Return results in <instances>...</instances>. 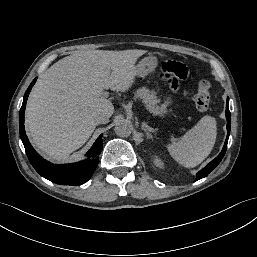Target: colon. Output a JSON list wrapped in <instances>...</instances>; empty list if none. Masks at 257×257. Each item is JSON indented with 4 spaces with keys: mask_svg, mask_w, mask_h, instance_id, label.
<instances>
[{
    "mask_svg": "<svg viewBox=\"0 0 257 257\" xmlns=\"http://www.w3.org/2000/svg\"><path fill=\"white\" fill-rule=\"evenodd\" d=\"M210 83L207 80L200 81L194 96V104L198 111L205 112L211 104Z\"/></svg>",
    "mask_w": 257,
    "mask_h": 257,
    "instance_id": "5ec220e1",
    "label": "colon"
}]
</instances>
